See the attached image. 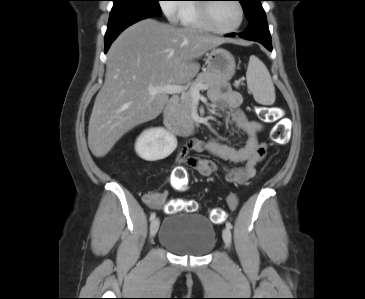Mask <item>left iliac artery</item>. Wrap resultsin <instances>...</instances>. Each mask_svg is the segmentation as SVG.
I'll return each mask as SVG.
<instances>
[{
  "mask_svg": "<svg viewBox=\"0 0 365 299\" xmlns=\"http://www.w3.org/2000/svg\"><path fill=\"white\" fill-rule=\"evenodd\" d=\"M226 227H227L228 229H232V224H231L230 222H227V223H226Z\"/></svg>",
  "mask_w": 365,
  "mask_h": 299,
  "instance_id": "obj_1",
  "label": "left iliac artery"
}]
</instances>
